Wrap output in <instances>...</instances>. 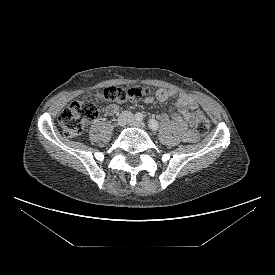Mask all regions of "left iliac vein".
Masks as SVG:
<instances>
[{
    "mask_svg": "<svg viewBox=\"0 0 275 275\" xmlns=\"http://www.w3.org/2000/svg\"><path fill=\"white\" fill-rule=\"evenodd\" d=\"M133 126L145 129L146 126L143 122H133Z\"/></svg>",
    "mask_w": 275,
    "mask_h": 275,
    "instance_id": "obj_1",
    "label": "left iliac vein"
}]
</instances>
